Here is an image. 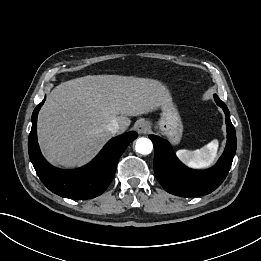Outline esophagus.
Segmentation results:
<instances>
[{"instance_id":"1","label":"esophagus","mask_w":261,"mask_h":261,"mask_svg":"<svg viewBox=\"0 0 261 261\" xmlns=\"http://www.w3.org/2000/svg\"><path fill=\"white\" fill-rule=\"evenodd\" d=\"M150 129V124L147 121H139L136 124V130L138 134H146Z\"/></svg>"}]
</instances>
